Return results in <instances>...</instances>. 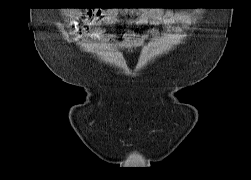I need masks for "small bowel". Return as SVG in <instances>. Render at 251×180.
<instances>
[{"label": "small bowel", "mask_w": 251, "mask_h": 180, "mask_svg": "<svg viewBox=\"0 0 251 180\" xmlns=\"http://www.w3.org/2000/svg\"><path fill=\"white\" fill-rule=\"evenodd\" d=\"M95 25H112L125 21L135 25H173L186 24L190 20V15L186 12H176L171 10H139L120 15L115 10H90L86 13ZM92 36L100 35V29L96 27L91 31ZM142 37L134 31H127L123 34L120 46L129 48L136 46Z\"/></svg>", "instance_id": "c3829d8e"}]
</instances>
